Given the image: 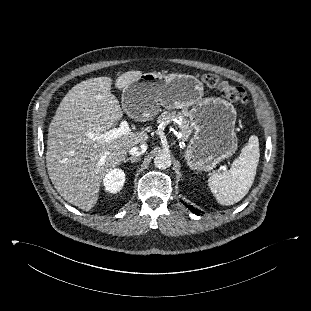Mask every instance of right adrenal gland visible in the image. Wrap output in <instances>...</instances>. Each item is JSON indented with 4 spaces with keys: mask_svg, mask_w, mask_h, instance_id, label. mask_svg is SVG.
Returning <instances> with one entry per match:
<instances>
[{
    "mask_svg": "<svg viewBox=\"0 0 311 311\" xmlns=\"http://www.w3.org/2000/svg\"><path fill=\"white\" fill-rule=\"evenodd\" d=\"M140 160V157H130V158H127V159H124V163L128 162V161H131V163H135V162H138Z\"/></svg>",
    "mask_w": 311,
    "mask_h": 311,
    "instance_id": "2a0ac1e0",
    "label": "right adrenal gland"
}]
</instances>
